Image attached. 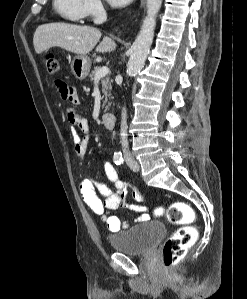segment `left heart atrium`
Listing matches in <instances>:
<instances>
[{
  "label": "left heart atrium",
  "instance_id": "1",
  "mask_svg": "<svg viewBox=\"0 0 247 299\" xmlns=\"http://www.w3.org/2000/svg\"><path fill=\"white\" fill-rule=\"evenodd\" d=\"M111 5L122 7L127 5L132 0H107Z\"/></svg>",
  "mask_w": 247,
  "mask_h": 299
}]
</instances>
